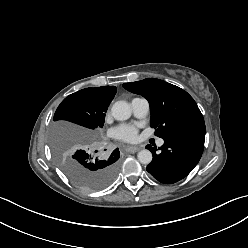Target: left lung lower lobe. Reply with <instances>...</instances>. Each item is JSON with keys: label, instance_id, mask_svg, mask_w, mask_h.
I'll use <instances>...</instances> for the list:
<instances>
[{"label": "left lung lower lobe", "instance_id": "obj_1", "mask_svg": "<svg viewBox=\"0 0 248 248\" xmlns=\"http://www.w3.org/2000/svg\"><path fill=\"white\" fill-rule=\"evenodd\" d=\"M205 124H198L179 131L164 140L159 148L147 145L153 155L146 170L159 182L173 184L185 178L197 165L204 149Z\"/></svg>", "mask_w": 248, "mask_h": 248}]
</instances>
